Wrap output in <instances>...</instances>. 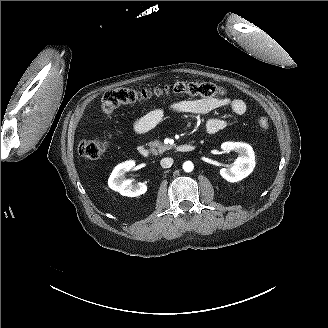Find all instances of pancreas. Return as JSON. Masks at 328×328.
Returning <instances> with one entry per match:
<instances>
[{
  "label": "pancreas",
  "mask_w": 328,
  "mask_h": 328,
  "mask_svg": "<svg viewBox=\"0 0 328 328\" xmlns=\"http://www.w3.org/2000/svg\"><path fill=\"white\" fill-rule=\"evenodd\" d=\"M148 146L150 147L151 151L155 154H162L166 150H170L173 146L172 145H165L161 141L154 140L148 143Z\"/></svg>",
  "instance_id": "obj_1"
}]
</instances>
